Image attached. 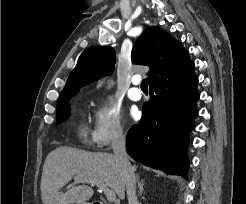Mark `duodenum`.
Masks as SVG:
<instances>
[{
	"label": "duodenum",
	"mask_w": 246,
	"mask_h": 204,
	"mask_svg": "<svg viewBox=\"0 0 246 204\" xmlns=\"http://www.w3.org/2000/svg\"><path fill=\"white\" fill-rule=\"evenodd\" d=\"M91 204H104V203L95 201V202H92Z\"/></svg>",
	"instance_id": "410a0bca"
}]
</instances>
